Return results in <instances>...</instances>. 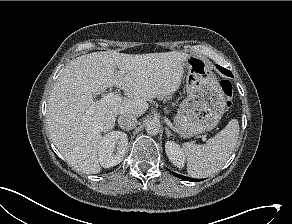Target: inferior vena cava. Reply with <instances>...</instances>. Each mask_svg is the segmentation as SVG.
I'll use <instances>...</instances> for the list:
<instances>
[{"label": "inferior vena cava", "mask_w": 292, "mask_h": 224, "mask_svg": "<svg viewBox=\"0 0 292 224\" xmlns=\"http://www.w3.org/2000/svg\"><path fill=\"white\" fill-rule=\"evenodd\" d=\"M119 126L124 130L133 129L137 125V119L132 114H121L118 118Z\"/></svg>", "instance_id": "1"}]
</instances>
